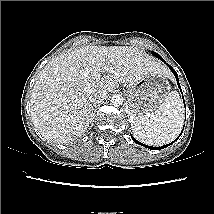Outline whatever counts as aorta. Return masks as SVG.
Masks as SVG:
<instances>
[{
	"instance_id": "obj_1",
	"label": "aorta",
	"mask_w": 214,
	"mask_h": 214,
	"mask_svg": "<svg viewBox=\"0 0 214 214\" xmlns=\"http://www.w3.org/2000/svg\"><path fill=\"white\" fill-rule=\"evenodd\" d=\"M123 97L120 94H116L111 98V103L115 107L121 106L123 104Z\"/></svg>"
}]
</instances>
